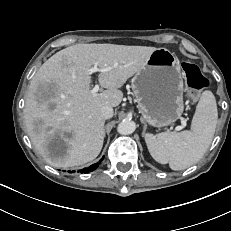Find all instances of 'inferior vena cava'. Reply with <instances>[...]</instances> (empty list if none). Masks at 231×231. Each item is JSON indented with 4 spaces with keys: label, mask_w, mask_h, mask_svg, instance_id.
<instances>
[{
    "label": "inferior vena cava",
    "mask_w": 231,
    "mask_h": 231,
    "mask_svg": "<svg viewBox=\"0 0 231 231\" xmlns=\"http://www.w3.org/2000/svg\"><path fill=\"white\" fill-rule=\"evenodd\" d=\"M101 116L103 119H109L113 116V108L109 106H104L101 109Z\"/></svg>",
    "instance_id": "1"
}]
</instances>
